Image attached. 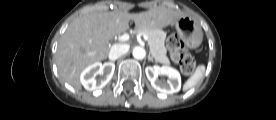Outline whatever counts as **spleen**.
<instances>
[{"label":"spleen","instance_id":"spleen-1","mask_svg":"<svg viewBox=\"0 0 276 120\" xmlns=\"http://www.w3.org/2000/svg\"><path fill=\"white\" fill-rule=\"evenodd\" d=\"M205 72V66L203 64L199 65L193 75L184 83L183 90H189L200 82Z\"/></svg>","mask_w":276,"mask_h":120}]
</instances>
